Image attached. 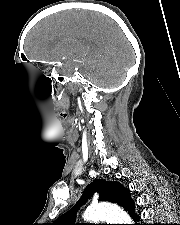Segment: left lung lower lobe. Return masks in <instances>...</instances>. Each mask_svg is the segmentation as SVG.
Segmentation results:
<instances>
[{
	"label": "left lung lower lobe",
	"instance_id": "left-lung-lower-lobe-1",
	"mask_svg": "<svg viewBox=\"0 0 180 225\" xmlns=\"http://www.w3.org/2000/svg\"><path fill=\"white\" fill-rule=\"evenodd\" d=\"M133 218H135L136 220H138V217L135 216V214L133 215ZM135 225H140V224H135Z\"/></svg>",
	"mask_w": 180,
	"mask_h": 225
}]
</instances>
